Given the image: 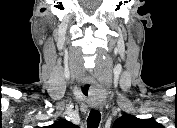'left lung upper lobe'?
Masks as SVG:
<instances>
[{"instance_id":"1","label":"left lung upper lobe","mask_w":177,"mask_h":128,"mask_svg":"<svg viewBox=\"0 0 177 128\" xmlns=\"http://www.w3.org/2000/svg\"><path fill=\"white\" fill-rule=\"evenodd\" d=\"M159 124L154 119H138L133 115H124L118 118L113 128H156Z\"/></svg>"}]
</instances>
